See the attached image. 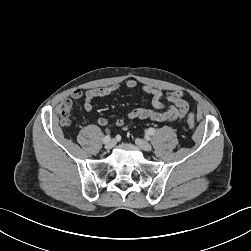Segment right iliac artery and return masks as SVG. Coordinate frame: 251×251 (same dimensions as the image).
I'll list each match as a JSON object with an SVG mask.
<instances>
[{"instance_id": "82829eb1", "label": "right iliac artery", "mask_w": 251, "mask_h": 251, "mask_svg": "<svg viewBox=\"0 0 251 251\" xmlns=\"http://www.w3.org/2000/svg\"><path fill=\"white\" fill-rule=\"evenodd\" d=\"M111 137L110 135H106L104 138H103V143L106 144L110 141Z\"/></svg>"}]
</instances>
